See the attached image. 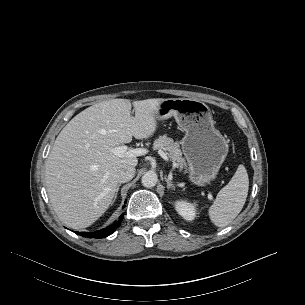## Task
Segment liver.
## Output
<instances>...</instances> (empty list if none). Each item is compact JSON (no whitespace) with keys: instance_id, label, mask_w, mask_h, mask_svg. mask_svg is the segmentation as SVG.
Returning a JSON list of instances; mask_svg holds the SVG:
<instances>
[{"instance_id":"obj_1","label":"liver","mask_w":305,"mask_h":305,"mask_svg":"<svg viewBox=\"0 0 305 305\" xmlns=\"http://www.w3.org/2000/svg\"><path fill=\"white\" fill-rule=\"evenodd\" d=\"M163 100L100 102L77 114L61 130L45 164V183L50 203L67 227L92 225L113 203L118 171L138 164L136 157H118L113 149L133 137L152 136Z\"/></svg>"}]
</instances>
